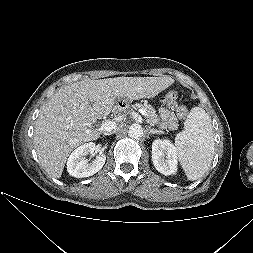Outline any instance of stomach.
Wrapping results in <instances>:
<instances>
[{"label":"stomach","instance_id":"1","mask_svg":"<svg viewBox=\"0 0 253 253\" xmlns=\"http://www.w3.org/2000/svg\"><path fill=\"white\" fill-rule=\"evenodd\" d=\"M169 96L166 95L164 98V102H168ZM115 110L120 111L121 113H128L132 109V102L126 97H118L115 100Z\"/></svg>","mask_w":253,"mask_h":253}]
</instances>
